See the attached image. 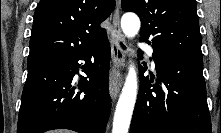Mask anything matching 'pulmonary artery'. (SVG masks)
I'll return each instance as SVG.
<instances>
[{"mask_svg": "<svg viewBox=\"0 0 221 133\" xmlns=\"http://www.w3.org/2000/svg\"><path fill=\"white\" fill-rule=\"evenodd\" d=\"M140 46L146 51L147 55L151 58L152 63L154 64L153 49L145 44H141Z\"/></svg>", "mask_w": 221, "mask_h": 133, "instance_id": "e3ab8cb5", "label": "pulmonary artery"}]
</instances>
